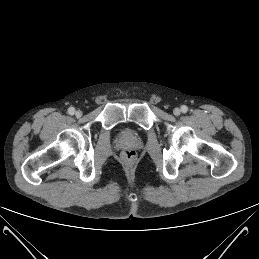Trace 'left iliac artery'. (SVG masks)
I'll return each mask as SVG.
<instances>
[{
  "label": "left iliac artery",
  "mask_w": 259,
  "mask_h": 259,
  "mask_svg": "<svg viewBox=\"0 0 259 259\" xmlns=\"http://www.w3.org/2000/svg\"><path fill=\"white\" fill-rule=\"evenodd\" d=\"M181 111H182L183 113H186V112L188 111V107H187L186 105H182V106H181Z\"/></svg>",
  "instance_id": "left-iliac-artery-1"
}]
</instances>
